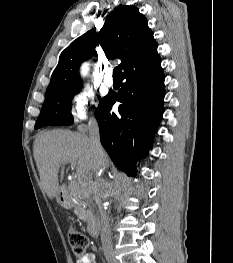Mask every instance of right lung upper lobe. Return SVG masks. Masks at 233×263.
<instances>
[{
	"label": "right lung upper lobe",
	"mask_w": 233,
	"mask_h": 263,
	"mask_svg": "<svg viewBox=\"0 0 233 263\" xmlns=\"http://www.w3.org/2000/svg\"><path fill=\"white\" fill-rule=\"evenodd\" d=\"M98 43L106 57L122 59L124 73L148 67L160 60L153 32L135 6H119L107 17L99 34L92 29L74 40L59 57L46 96L81 88L79 66Z\"/></svg>",
	"instance_id": "cb5924a9"
}]
</instances>
